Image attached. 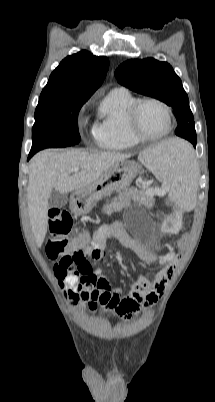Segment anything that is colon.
<instances>
[{"mask_svg":"<svg viewBox=\"0 0 215 402\" xmlns=\"http://www.w3.org/2000/svg\"><path fill=\"white\" fill-rule=\"evenodd\" d=\"M72 224V217L67 211L59 209H53L50 211V238L47 242L46 253L50 259H59L57 263L60 268H71L74 263H81L85 259V256L80 250H86L87 244L91 243L90 235H74L73 239L69 241L67 235L72 228ZM191 236V233L187 231L183 236L175 241L178 253H185L186 248L184 244L192 241ZM174 263L175 259L171 257L168 261V268H172ZM79 270L81 272H86L88 267L86 265H81Z\"/></svg>","mask_w":215,"mask_h":402,"instance_id":"5ec220e1","label":"colon"}]
</instances>
